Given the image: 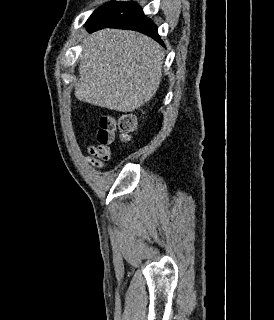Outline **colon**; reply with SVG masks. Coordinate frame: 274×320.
Returning <instances> with one entry per match:
<instances>
[{"label":"colon","instance_id":"1","mask_svg":"<svg viewBox=\"0 0 274 320\" xmlns=\"http://www.w3.org/2000/svg\"><path fill=\"white\" fill-rule=\"evenodd\" d=\"M137 126V118L133 114H123L116 121L110 116L103 115L98 119L97 143H105L106 149H109L115 128L121 132L122 141H127L130 138V133L134 132Z\"/></svg>","mask_w":274,"mask_h":320}]
</instances>
